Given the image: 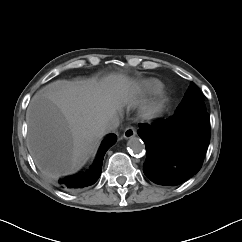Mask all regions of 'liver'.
<instances>
[{
    "mask_svg": "<svg viewBox=\"0 0 242 242\" xmlns=\"http://www.w3.org/2000/svg\"><path fill=\"white\" fill-rule=\"evenodd\" d=\"M133 103V82L122 74L57 80L32 98L26 113L28 149L51 177L73 174L94 156L108 118Z\"/></svg>",
    "mask_w": 242,
    "mask_h": 242,
    "instance_id": "6515ba94",
    "label": "liver"
}]
</instances>
